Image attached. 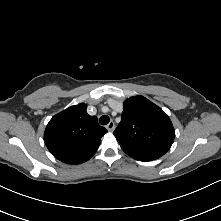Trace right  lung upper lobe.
<instances>
[{"label": "right lung upper lobe", "mask_w": 221, "mask_h": 221, "mask_svg": "<svg viewBox=\"0 0 221 221\" xmlns=\"http://www.w3.org/2000/svg\"><path fill=\"white\" fill-rule=\"evenodd\" d=\"M84 103L71 106L49 121L44 142L50 153L67 164H81L89 160L99 148L107 130L96 116L86 112Z\"/></svg>", "instance_id": "obj_1"}]
</instances>
